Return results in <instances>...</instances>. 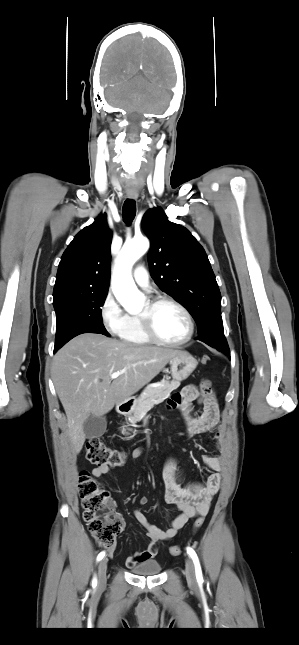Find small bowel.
I'll use <instances>...</instances> for the list:
<instances>
[{"label": "small bowel", "instance_id": "1", "mask_svg": "<svg viewBox=\"0 0 299 645\" xmlns=\"http://www.w3.org/2000/svg\"><path fill=\"white\" fill-rule=\"evenodd\" d=\"M198 398L197 387L188 385L169 401L170 408L178 409L181 412L186 423L188 437L209 432L218 425L220 420L218 403L213 393L200 399L203 412L199 416L194 415L192 404ZM214 439L217 445L222 448L223 440L220 431L215 434ZM141 455V449H136L133 452L134 458H139ZM202 460L211 473L204 482H194L187 487L180 486L183 473L177 461L172 457L166 460L163 473L164 498L166 503L173 505L180 513L167 529H161L151 524L140 509H135L134 517L146 529L149 544L146 549L129 555L125 560L126 567L132 568L139 563L153 559L158 554L161 543L173 539L190 519L196 516H205L208 513L211 501L220 487L222 462L220 456L212 454L203 455ZM109 471L110 466L98 465L92 470V475L99 478ZM139 502L141 505H145L148 499L143 496ZM113 550V547L110 548V553Z\"/></svg>", "mask_w": 299, "mask_h": 645}]
</instances>
